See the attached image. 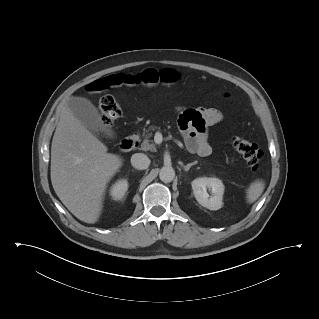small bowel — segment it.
Masks as SVG:
<instances>
[{
  "label": "small bowel",
  "mask_w": 319,
  "mask_h": 319,
  "mask_svg": "<svg viewBox=\"0 0 319 319\" xmlns=\"http://www.w3.org/2000/svg\"><path fill=\"white\" fill-rule=\"evenodd\" d=\"M180 79L178 72L172 69H145L137 76L110 75L95 80L87 85L89 92L97 93L119 85L141 84L151 87L158 83L169 86ZM179 130L187 149L199 156L207 157L212 153V147L207 139L208 127L219 123L223 115L214 108H179Z\"/></svg>",
  "instance_id": "1"
}]
</instances>
